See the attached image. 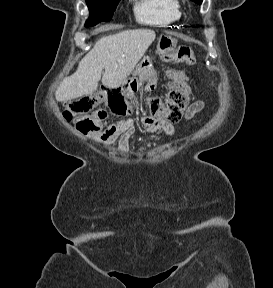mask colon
I'll use <instances>...</instances> for the list:
<instances>
[{
    "label": "colon",
    "instance_id": "5ec220e1",
    "mask_svg": "<svg viewBox=\"0 0 273 288\" xmlns=\"http://www.w3.org/2000/svg\"><path fill=\"white\" fill-rule=\"evenodd\" d=\"M160 54L165 61L176 62L186 66L195 63L196 56L192 48L178 45L171 39L163 37L160 42ZM172 79L171 89L165 100L152 96L146 106L151 117L176 123L182 117L189 103V87L186 84V73L182 69L170 71ZM102 100L106 109L95 110L98 100L91 96H83L69 102L63 117L67 121H74L77 130L87 134L95 130L98 123L110 113L116 116L131 114L132 107L118 89H108L103 93Z\"/></svg>",
    "mask_w": 273,
    "mask_h": 288
}]
</instances>
